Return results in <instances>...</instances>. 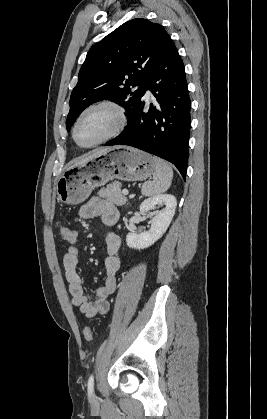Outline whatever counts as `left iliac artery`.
Masks as SVG:
<instances>
[{"label":"left iliac artery","instance_id":"1","mask_svg":"<svg viewBox=\"0 0 267 419\" xmlns=\"http://www.w3.org/2000/svg\"><path fill=\"white\" fill-rule=\"evenodd\" d=\"M87 388H88V394L92 395L93 394V389H94V376H93V374L88 379Z\"/></svg>","mask_w":267,"mask_h":419}]
</instances>
